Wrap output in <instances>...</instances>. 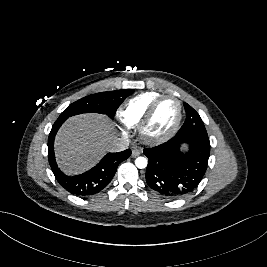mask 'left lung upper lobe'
I'll list each match as a JSON object with an SVG mask.
<instances>
[{
	"instance_id": "1",
	"label": "left lung upper lobe",
	"mask_w": 267,
	"mask_h": 267,
	"mask_svg": "<svg viewBox=\"0 0 267 267\" xmlns=\"http://www.w3.org/2000/svg\"><path fill=\"white\" fill-rule=\"evenodd\" d=\"M186 120L176 136L184 135L187 133L199 132L207 134L204 123L199 114L187 103H184Z\"/></svg>"
}]
</instances>
